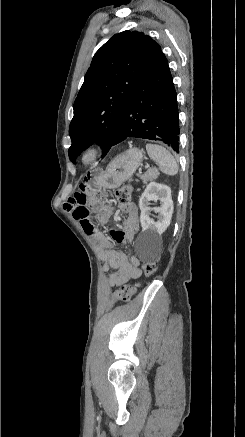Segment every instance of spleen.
<instances>
[{"mask_svg":"<svg viewBox=\"0 0 245 437\" xmlns=\"http://www.w3.org/2000/svg\"><path fill=\"white\" fill-rule=\"evenodd\" d=\"M146 150L163 173L167 175L177 174L179 168L177 161L166 148L158 144H146Z\"/></svg>","mask_w":245,"mask_h":437,"instance_id":"spleen-1","label":"spleen"}]
</instances>
